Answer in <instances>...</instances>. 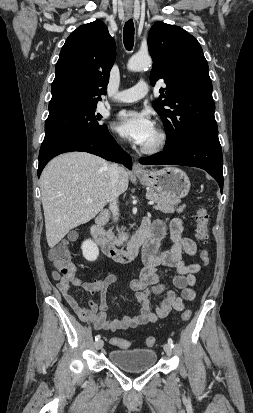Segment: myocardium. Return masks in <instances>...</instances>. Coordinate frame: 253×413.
I'll return each mask as SVG.
<instances>
[{"instance_id":"f54148a6","label":"myocardium","mask_w":253,"mask_h":413,"mask_svg":"<svg viewBox=\"0 0 253 413\" xmlns=\"http://www.w3.org/2000/svg\"><path fill=\"white\" fill-rule=\"evenodd\" d=\"M155 131L157 135L156 141L148 146L142 145L140 148L142 153L155 154L162 151L166 147L168 143V133L166 132V130L161 126H157L155 128Z\"/></svg>"}]
</instances>
